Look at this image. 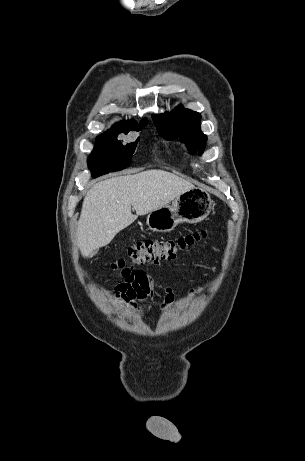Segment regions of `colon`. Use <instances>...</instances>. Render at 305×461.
<instances>
[{
    "label": "colon",
    "instance_id": "1",
    "mask_svg": "<svg viewBox=\"0 0 305 461\" xmlns=\"http://www.w3.org/2000/svg\"><path fill=\"white\" fill-rule=\"evenodd\" d=\"M206 236V231L197 230L173 239L139 241L128 249L126 257L115 260L112 267L127 278L134 272L135 266L158 264L160 261L174 259L178 253L203 241Z\"/></svg>",
    "mask_w": 305,
    "mask_h": 461
}]
</instances>
